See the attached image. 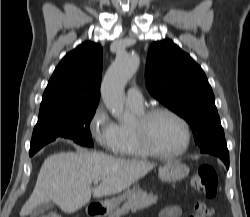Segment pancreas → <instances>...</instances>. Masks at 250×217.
<instances>
[{"mask_svg": "<svg viewBox=\"0 0 250 217\" xmlns=\"http://www.w3.org/2000/svg\"><path fill=\"white\" fill-rule=\"evenodd\" d=\"M158 200V197L153 194H148L146 191L139 190L133 193L127 201L121 206V208L116 209L112 212L109 217H121L127 214L129 211L138 212L143 210L153 204Z\"/></svg>", "mask_w": 250, "mask_h": 217, "instance_id": "1", "label": "pancreas"}]
</instances>
